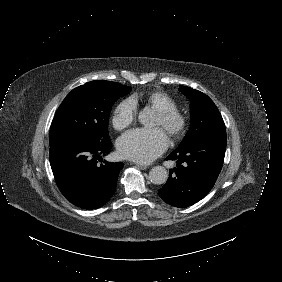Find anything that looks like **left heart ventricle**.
<instances>
[{
    "label": "left heart ventricle",
    "instance_id": "b2bd125f",
    "mask_svg": "<svg viewBox=\"0 0 282 282\" xmlns=\"http://www.w3.org/2000/svg\"><path fill=\"white\" fill-rule=\"evenodd\" d=\"M158 125H161V120L159 118V116L156 114L155 118H154V126H158Z\"/></svg>",
    "mask_w": 282,
    "mask_h": 282
}]
</instances>
